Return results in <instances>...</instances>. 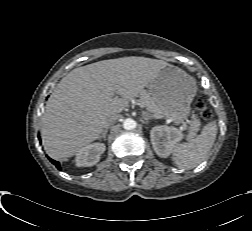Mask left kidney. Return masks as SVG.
I'll list each match as a JSON object with an SVG mask.
<instances>
[{"instance_id":"1","label":"left kidney","mask_w":252,"mask_h":231,"mask_svg":"<svg viewBox=\"0 0 252 231\" xmlns=\"http://www.w3.org/2000/svg\"><path fill=\"white\" fill-rule=\"evenodd\" d=\"M182 137V133L177 128L169 126H155L150 131L153 149L163 158L170 155L172 148Z\"/></svg>"}]
</instances>
